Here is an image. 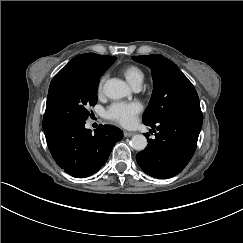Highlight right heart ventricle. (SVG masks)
Returning a JSON list of instances; mask_svg holds the SVG:
<instances>
[{"instance_id":"e07e8e85","label":"right heart ventricle","mask_w":243,"mask_h":243,"mask_svg":"<svg viewBox=\"0 0 243 243\" xmlns=\"http://www.w3.org/2000/svg\"><path fill=\"white\" fill-rule=\"evenodd\" d=\"M121 74L132 87H140L145 78L143 69L135 64L128 65L121 70Z\"/></svg>"}]
</instances>
